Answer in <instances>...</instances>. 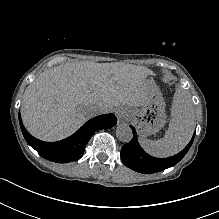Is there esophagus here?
Listing matches in <instances>:
<instances>
[{
  "instance_id": "obj_1",
  "label": "esophagus",
  "mask_w": 219,
  "mask_h": 219,
  "mask_svg": "<svg viewBox=\"0 0 219 219\" xmlns=\"http://www.w3.org/2000/svg\"><path fill=\"white\" fill-rule=\"evenodd\" d=\"M116 116L118 118V120L120 122L124 121V120H127L128 118V113L127 112H124L123 109L119 108L117 111H116Z\"/></svg>"
}]
</instances>
